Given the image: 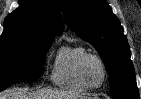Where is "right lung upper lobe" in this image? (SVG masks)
I'll return each mask as SVG.
<instances>
[{
    "instance_id": "obj_1",
    "label": "right lung upper lobe",
    "mask_w": 141,
    "mask_h": 99,
    "mask_svg": "<svg viewBox=\"0 0 141 99\" xmlns=\"http://www.w3.org/2000/svg\"><path fill=\"white\" fill-rule=\"evenodd\" d=\"M19 4L5 18L0 38H30L52 43L54 36L62 33L59 0H19Z\"/></svg>"
}]
</instances>
